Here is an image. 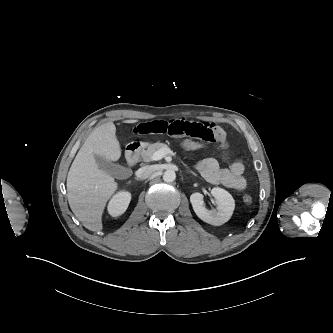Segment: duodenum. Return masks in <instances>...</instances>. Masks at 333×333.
Returning <instances> with one entry per match:
<instances>
[{"label": "duodenum", "mask_w": 333, "mask_h": 333, "mask_svg": "<svg viewBox=\"0 0 333 333\" xmlns=\"http://www.w3.org/2000/svg\"><path fill=\"white\" fill-rule=\"evenodd\" d=\"M140 151V144H130L125 152V158L128 165L132 166L136 163Z\"/></svg>", "instance_id": "obj_1"}]
</instances>
